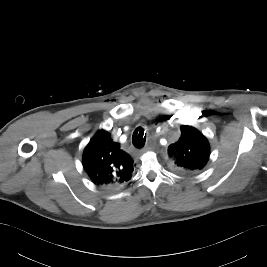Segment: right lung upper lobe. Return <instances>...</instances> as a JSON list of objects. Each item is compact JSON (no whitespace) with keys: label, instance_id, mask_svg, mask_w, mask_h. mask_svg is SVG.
Wrapping results in <instances>:
<instances>
[{"label":"right lung upper lobe","instance_id":"right-lung-upper-lobe-1","mask_svg":"<svg viewBox=\"0 0 267 267\" xmlns=\"http://www.w3.org/2000/svg\"><path fill=\"white\" fill-rule=\"evenodd\" d=\"M83 167L95 185L122 187L132 177L133 160L108 132L98 131L83 153Z\"/></svg>","mask_w":267,"mask_h":267}]
</instances>
